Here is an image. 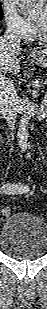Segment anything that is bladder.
I'll list each match as a JSON object with an SVG mask.
<instances>
[{
    "mask_svg": "<svg viewBox=\"0 0 47 309\" xmlns=\"http://www.w3.org/2000/svg\"><path fill=\"white\" fill-rule=\"evenodd\" d=\"M0 247L12 258L41 257L47 250V225L31 213L11 214L3 224Z\"/></svg>",
    "mask_w": 47,
    "mask_h": 309,
    "instance_id": "obj_1",
    "label": "bladder"
}]
</instances>
